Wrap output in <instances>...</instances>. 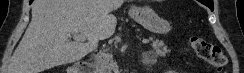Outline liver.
I'll return each instance as SVG.
<instances>
[{
    "label": "liver",
    "mask_w": 244,
    "mask_h": 73,
    "mask_svg": "<svg viewBox=\"0 0 244 73\" xmlns=\"http://www.w3.org/2000/svg\"><path fill=\"white\" fill-rule=\"evenodd\" d=\"M123 0H35L32 20L10 59L8 73H41L73 63L111 37L117 20L111 12ZM83 35L87 42L71 35Z\"/></svg>",
    "instance_id": "6515ba94"
}]
</instances>
